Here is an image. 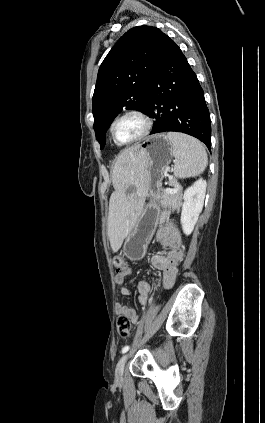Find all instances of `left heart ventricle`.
<instances>
[{"mask_svg":"<svg viewBox=\"0 0 265 423\" xmlns=\"http://www.w3.org/2000/svg\"><path fill=\"white\" fill-rule=\"evenodd\" d=\"M143 129V122L137 117H127L115 125L116 138L121 142H127L136 138Z\"/></svg>","mask_w":265,"mask_h":423,"instance_id":"left-heart-ventricle-1","label":"left heart ventricle"}]
</instances>
